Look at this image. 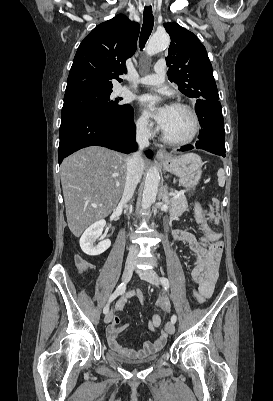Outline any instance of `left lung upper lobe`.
Instances as JSON below:
<instances>
[{"instance_id":"obj_1","label":"left lung upper lobe","mask_w":273,"mask_h":401,"mask_svg":"<svg viewBox=\"0 0 273 401\" xmlns=\"http://www.w3.org/2000/svg\"><path fill=\"white\" fill-rule=\"evenodd\" d=\"M164 27L171 37L166 57L169 80L190 98L218 100L212 65L204 45L177 23H165Z\"/></svg>"}]
</instances>
